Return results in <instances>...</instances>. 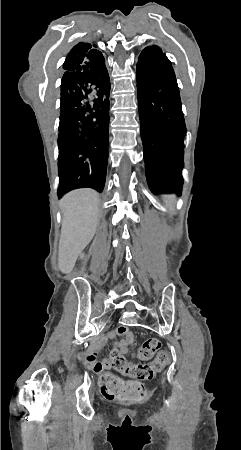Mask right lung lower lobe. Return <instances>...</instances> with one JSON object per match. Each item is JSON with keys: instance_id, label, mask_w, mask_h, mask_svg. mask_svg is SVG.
Wrapping results in <instances>:
<instances>
[{"instance_id": "1", "label": "right lung lower lobe", "mask_w": 241, "mask_h": 450, "mask_svg": "<svg viewBox=\"0 0 241 450\" xmlns=\"http://www.w3.org/2000/svg\"><path fill=\"white\" fill-rule=\"evenodd\" d=\"M110 79L105 60L61 81L58 196L77 188L102 192L108 161Z\"/></svg>"}]
</instances>
